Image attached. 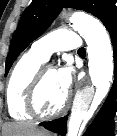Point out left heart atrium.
Instances as JSON below:
<instances>
[{"mask_svg": "<svg viewBox=\"0 0 117 136\" xmlns=\"http://www.w3.org/2000/svg\"><path fill=\"white\" fill-rule=\"evenodd\" d=\"M56 75L60 87L68 93L73 81V68L70 64H65L56 70Z\"/></svg>", "mask_w": 117, "mask_h": 136, "instance_id": "1", "label": "left heart atrium"}]
</instances>
